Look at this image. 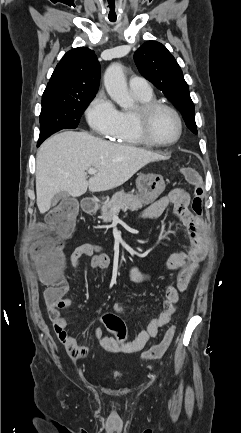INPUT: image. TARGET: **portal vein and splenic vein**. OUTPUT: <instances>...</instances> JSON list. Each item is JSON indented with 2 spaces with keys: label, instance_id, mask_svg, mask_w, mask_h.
I'll return each instance as SVG.
<instances>
[{
  "label": "portal vein and splenic vein",
  "instance_id": "obj_1",
  "mask_svg": "<svg viewBox=\"0 0 241 433\" xmlns=\"http://www.w3.org/2000/svg\"><path fill=\"white\" fill-rule=\"evenodd\" d=\"M87 172H88L89 175H94V174L97 172V170L94 169V168H89V169L87 170Z\"/></svg>",
  "mask_w": 241,
  "mask_h": 433
}]
</instances>
